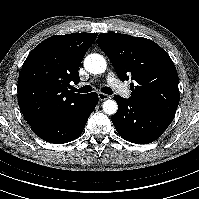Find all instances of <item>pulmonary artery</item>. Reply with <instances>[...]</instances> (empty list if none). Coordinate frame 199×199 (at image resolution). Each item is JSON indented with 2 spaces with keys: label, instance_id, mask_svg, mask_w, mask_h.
Wrapping results in <instances>:
<instances>
[{
  "label": "pulmonary artery",
  "instance_id": "obj_1",
  "mask_svg": "<svg viewBox=\"0 0 199 199\" xmlns=\"http://www.w3.org/2000/svg\"><path fill=\"white\" fill-rule=\"evenodd\" d=\"M107 82L111 85V87L122 97L129 98L131 96L130 90L120 82L113 72H108L106 75Z\"/></svg>",
  "mask_w": 199,
  "mask_h": 199
}]
</instances>
